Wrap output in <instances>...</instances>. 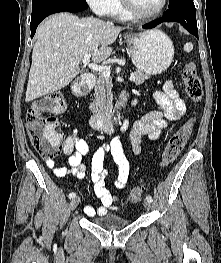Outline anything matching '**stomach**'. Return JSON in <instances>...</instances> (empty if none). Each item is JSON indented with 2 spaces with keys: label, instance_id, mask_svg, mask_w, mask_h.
<instances>
[{
  "label": "stomach",
  "instance_id": "obj_1",
  "mask_svg": "<svg viewBox=\"0 0 221 263\" xmlns=\"http://www.w3.org/2000/svg\"><path fill=\"white\" fill-rule=\"evenodd\" d=\"M125 40L134 65L146 74H161L173 61V43L158 29L131 34Z\"/></svg>",
  "mask_w": 221,
  "mask_h": 263
}]
</instances>
